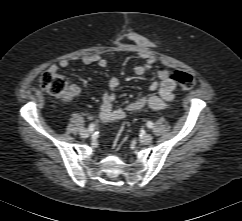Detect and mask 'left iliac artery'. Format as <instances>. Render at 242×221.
Instances as JSON below:
<instances>
[{"label": "left iliac artery", "instance_id": "left-iliac-artery-1", "mask_svg": "<svg viewBox=\"0 0 242 221\" xmlns=\"http://www.w3.org/2000/svg\"><path fill=\"white\" fill-rule=\"evenodd\" d=\"M147 127L148 128H153L154 127V124L151 121H148L147 122Z\"/></svg>", "mask_w": 242, "mask_h": 221}]
</instances>
